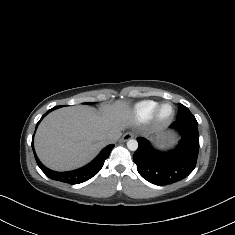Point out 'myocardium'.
Listing matches in <instances>:
<instances>
[{
    "label": "myocardium",
    "mask_w": 235,
    "mask_h": 235,
    "mask_svg": "<svg viewBox=\"0 0 235 235\" xmlns=\"http://www.w3.org/2000/svg\"><path fill=\"white\" fill-rule=\"evenodd\" d=\"M166 104H171L173 107V113L169 118H163L160 114L161 108ZM175 116H176L175 105L171 101H162L156 105V107L153 111L152 118H153L154 122L159 125H167V124H170L175 119Z\"/></svg>",
    "instance_id": "1"
}]
</instances>
